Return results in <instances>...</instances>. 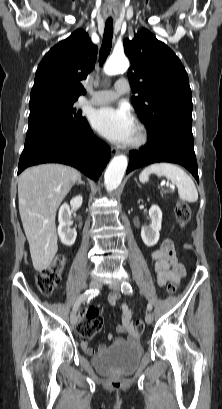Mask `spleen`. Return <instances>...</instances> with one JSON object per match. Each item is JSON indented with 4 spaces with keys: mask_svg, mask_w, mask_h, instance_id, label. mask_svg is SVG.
Returning a JSON list of instances; mask_svg holds the SVG:
<instances>
[{
    "mask_svg": "<svg viewBox=\"0 0 222 409\" xmlns=\"http://www.w3.org/2000/svg\"><path fill=\"white\" fill-rule=\"evenodd\" d=\"M151 174H156L158 177L164 176L174 183L178 188V194L181 200L190 203L198 200V192L194 182L179 166L171 163L151 164L140 173V182H148Z\"/></svg>",
    "mask_w": 222,
    "mask_h": 409,
    "instance_id": "1",
    "label": "spleen"
}]
</instances>
